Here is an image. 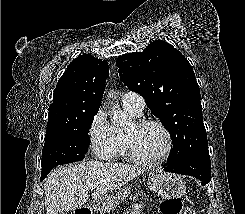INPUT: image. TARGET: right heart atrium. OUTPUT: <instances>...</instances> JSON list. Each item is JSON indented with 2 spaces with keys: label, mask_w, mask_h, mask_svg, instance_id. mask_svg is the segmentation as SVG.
<instances>
[{
  "label": "right heart atrium",
  "mask_w": 245,
  "mask_h": 214,
  "mask_svg": "<svg viewBox=\"0 0 245 214\" xmlns=\"http://www.w3.org/2000/svg\"><path fill=\"white\" fill-rule=\"evenodd\" d=\"M88 138L90 148L97 158L101 160L113 158L116 148L115 129L103 110L97 111L92 118L88 129Z\"/></svg>",
  "instance_id": "obj_1"
}]
</instances>
